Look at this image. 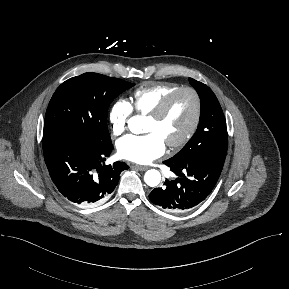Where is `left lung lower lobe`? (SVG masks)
I'll return each instance as SVG.
<instances>
[{
    "label": "left lung lower lobe",
    "mask_w": 289,
    "mask_h": 289,
    "mask_svg": "<svg viewBox=\"0 0 289 289\" xmlns=\"http://www.w3.org/2000/svg\"><path fill=\"white\" fill-rule=\"evenodd\" d=\"M225 158L201 156L189 161L163 163L177 176L165 180L162 187L150 194L151 202L171 212L190 210L200 204L211 193L221 174Z\"/></svg>",
    "instance_id": "obj_1"
}]
</instances>
